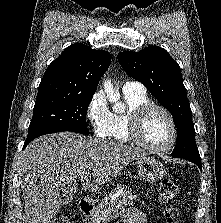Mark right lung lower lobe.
I'll return each instance as SVG.
<instances>
[{"label": "right lung lower lobe", "instance_id": "obj_1", "mask_svg": "<svg viewBox=\"0 0 221 223\" xmlns=\"http://www.w3.org/2000/svg\"><path fill=\"white\" fill-rule=\"evenodd\" d=\"M32 140H26L23 146V149L31 142Z\"/></svg>", "mask_w": 221, "mask_h": 223}]
</instances>
